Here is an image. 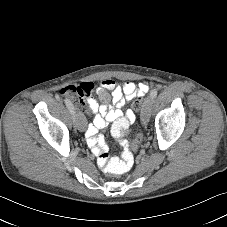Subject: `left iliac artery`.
I'll list each match as a JSON object with an SVG mask.
<instances>
[{
  "label": "left iliac artery",
  "instance_id": "obj_1",
  "mask_svg": "<svg viewBox=\"0 0 227 227\" xmlns=\"http://www.w3.org/2000/svg\"><path fill=\"white\" fill-rule=\"evenodd\" d=\"M158 92L156 90H152L150 93V97L153 99L157 96Z\"/></svg>",
  "mask_w": 227,
  "mask_h": 227
}]
</instances>
